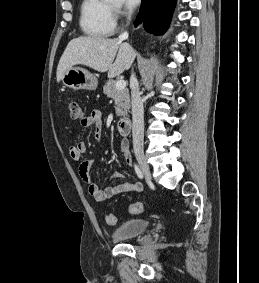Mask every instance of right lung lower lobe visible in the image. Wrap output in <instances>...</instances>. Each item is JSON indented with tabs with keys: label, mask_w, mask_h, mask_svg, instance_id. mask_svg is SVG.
Masks as SVG:
<instances>
[{
	"label": "right lung lower lobe",
	"mask_w": 259,
	"mask_h": 283,
	"mask_svg": "<svg viewBox=\"0 0 259 283\" xmlns=\"http://www.w3.org/2000/svg\"><path fill=\"white\" fill-rule=\"evenodd\" d=\"M175 4L176 0H142L135 26L143 21L146 31L164 33L169 26Z\"/></svg>",
	"instance_id": "obj_1"
}]
</instances>
